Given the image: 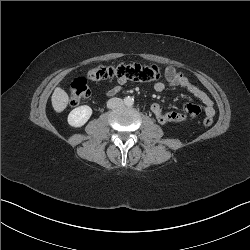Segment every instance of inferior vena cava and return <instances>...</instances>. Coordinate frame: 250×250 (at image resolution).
<instances>
[{"label": "inferior vena cava", "mask_w": 250, "mask_h": 250, "mask_svg": "<svg viewBox=\"0 0 250 250\" xmlns=\"http://www.w3.org/2000/svg\"><path fill=\"white\" fill-rule=\"evenodd\" d=\"M123 105V100L120 98H111L107 102V107L109 109L119 108Z\"/></svg>", "instance_id": "602c4592"}]
</instances>
